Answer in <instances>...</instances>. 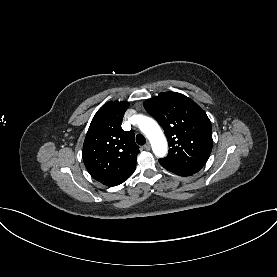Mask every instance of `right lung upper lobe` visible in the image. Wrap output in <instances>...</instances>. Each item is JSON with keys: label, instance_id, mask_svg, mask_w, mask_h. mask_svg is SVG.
<instances>
[{"label": "right lung upper lobe", "instance_id": "obj_1", "mask_svg": "<svg viewBox=\"0 0 277 277\" xmlns=\"http://www.w3.org/2000/svg\"><path fill=\"white\" fill-rule=\"evenodd\" d=\"M128 102L109 101L95 114L83 145V161L90 175L107 186L127 180L136 168L139 147L134 133L121 128Z\"/></svg>", "mask_w": 277, "mask_h": 277}]
</instances>
